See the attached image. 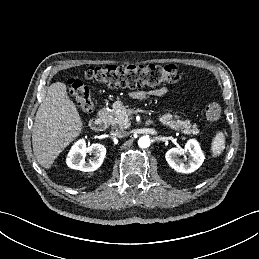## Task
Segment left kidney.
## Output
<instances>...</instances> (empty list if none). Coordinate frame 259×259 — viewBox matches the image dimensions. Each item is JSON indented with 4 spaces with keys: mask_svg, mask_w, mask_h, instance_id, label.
Instances as JSON below:
<instances>
[{
    "mask_svg": "<svg viewBox=\"0 0 259 259\" xmlns=\"http://www.w3.org/2000/svg\"><path fill=\"white\" fill-rule=\"evenodd\" d=\"M188 153L190 158L183 160L179 158L180 155ZM166 161L169 166L175 171L180 173H192L197 170L204 161V154L199 146V143L195 139L187 141L184 149L182 148H171L165 154Z\"/></svg>",
    "mask_w": 259,
    "mask_h": 259,
    "instance_id": "left-kidney-1",
    "label": "left kidney"
}]
</instances>
